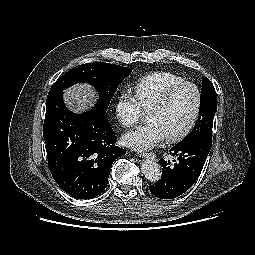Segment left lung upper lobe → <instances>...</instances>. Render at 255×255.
<instances>
[{"label":"left lung upper lobe","mask_w":255,"mask_h":255,"mask_svg":"<svg viewBox=\"0 0 255 255\" xmlns=\"http://www.w3.org/2000/svg\"><path fill=\"white\" fill-rule=\"evenodd\" d=\"M217 111V95L212 82L202 77V90L200 100L199 118L191 133L180 143L184 144L199 138L212 139V127L214 115Z\"/></svg>","instance_id":"left-lung-upper-lobe-1"}]
</instances>
